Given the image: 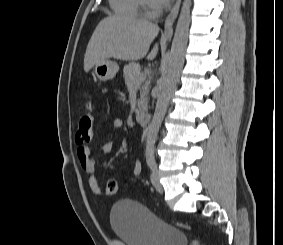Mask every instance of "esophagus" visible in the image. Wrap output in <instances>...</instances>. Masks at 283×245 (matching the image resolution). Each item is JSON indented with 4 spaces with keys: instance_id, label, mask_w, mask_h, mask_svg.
<instances>
[{
    "instance_id": "esophagus-1",
    "label": "esophagus",
    "mask_w": 283,
    "mask_h": 245,
    "mask_svg": "<svg viewBox=\"0 0 283 245\" xmlns=\"http://www.w3.org/2000/svg\"><path fill=\"white\" fill-rule=\"evenodd\" d=\"M181 0H177L171 9L169 15L167 16L164 24V31L162 34L163 39L170 40L173 34V24L175 19L177 18L179 8H180Z\"/></svg>"
}]
</instances>
